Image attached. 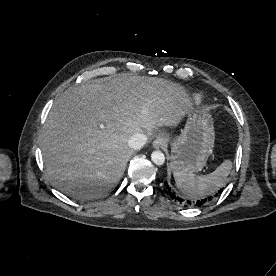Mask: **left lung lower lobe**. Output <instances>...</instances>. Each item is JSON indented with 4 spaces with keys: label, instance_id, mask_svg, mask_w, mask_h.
Masks as SVG:
<instances>
[{
    "label": "left lung lower lobe",
    "instance_id": "left-lung-lower-lobe-1",
    "mask_svg": "<svg viewBox=\"0 0 276 276\" xmlns=\"http://www.w3.org/2000/svg\"><path fill=\"white\" fill-rule=\"evenodd\" d=\"M164 187H165V190L168 192V194L172 197V199H174L175 201H177L178 203L180 204H183L184 206H200L202 205L203 203H206V202H209L211 201L214 197H216L218 195V193H221L222 192V189H220L218 191V193H212V194H209L207 196H204V197H201L203 199L201 200H198V201H191V200H185L179 196H177L175 194V192L171 189L170 185L168 184L167 181L164 182Z\"/></svg>",
    "mask_w": 276,
    "mask_h": 276
}]
</instances>
